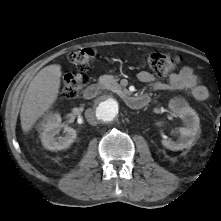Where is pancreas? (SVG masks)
Here are the masks:
<instances>
[{"instance_id":"1","label":"pancreas","mask_w":221,"mask_h":221,"mask_svg":"<svg viewBox=\"0 0 221 221\" xmlns=\"http://www.w3.org/2000/svg\"><path fill=\"white\" fill-rule=\"evenodd\" d=\"M100 85L108 90H119L121 86L117 83V79H115L112 75H103L99 78Z\"/></svg>"}]
</instances>
